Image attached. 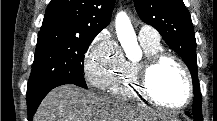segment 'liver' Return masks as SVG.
Masks as SVG:
<instances>
[{
	"label": "liver",
	"mask_w": 217,
	"mask_h": 121,
	"mask_svg": "<svg viewBox=\"0 0 217 121\" xmlns=\"http://www.w3.org/2000/svg\"><path fill=\"white\" fill-rule=\"evenodd\" d=\"M162 120L166 113L147 114L142 108L120 99L63 85L50 91L40 104L33 121H138Z\"/></svg>",
	"instance_id": "liver-1"
}]
</instances>
